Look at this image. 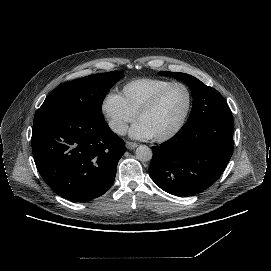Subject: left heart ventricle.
Returning <instances> with one entry per match:
<instances>
[{"label": "left heart ventricle", "mask_w": 271, "mask_h": 271, "mask_svg": "<svg viewBox=\"0 0 271 271\" xmlns=\"http://www.w3.org/2000/svg\"><path fill=\"white\" fill-rule=\"evenodd\" d=\"M189 104V94L185 87L171 88L157 108L141 121L152 137L165 135L172 131L184 117Z\"/></svg>", "instance_id": "1"}]
</instances>
